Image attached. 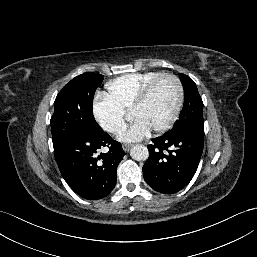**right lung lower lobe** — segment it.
I'll list each match as a JSON object with an SVG mask.
<instances>
[{"label": "right lung lower lobe", "mask_w": 257, "mask_h": 257, "mask_svg": "<svg viewBox=\"0 0 257 257\" xmlns=\"http://www.w3.org/2000/svg\"><path fill=\"white\" fill-rule=\"evenodd\" d=\"M105 146L109 151L97 156V150ZM53 147L61 174L75 193L89 200L110 194L117 166L125 155L119 142L104 132L93 138L70 137Z\"/></svg>", "instance_id": "obj_1"}]
</instances>
